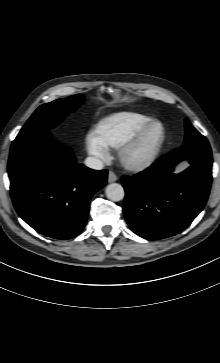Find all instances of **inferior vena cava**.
<instances>
[{
    "label": "inferior vena cava",
    "instance_id": "inferior-vena-cava-1",
    "mask_svg": "<svg viewBox=\"0 0 220 363\" xmlns=\"http://www.w3.org/2000/svg\"><path fill=\"white\" fill-rule=\"evenodd\" d=\"M85 165L95 170L103 169V162L96 157H87L85 160Z\"/></svg>",
    "mask_w": 220,
    "mask_h": 363
}]
</instances>
